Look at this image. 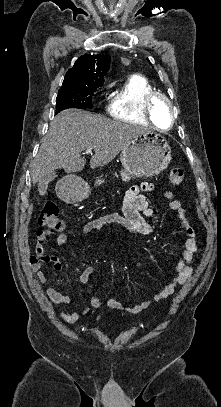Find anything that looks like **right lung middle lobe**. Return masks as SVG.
I'll return each mask as SVG.
<instances>
[{"label": "right lung middle lobe", "mask_w": 221, "mask_h": 407, "mask_svg": "<svg viewBox=\"0 0 221 407\" xmlns=\"http://www.w3.org/2000/svg\"><path fill=\"white\" fill-rule=\"evenodd\" d=\"M96 89H60L56 98V113L68 108H92V95Z\"/></svg>", "instance_id": "right-lung-middle-lobe-1"}]
</instances>
